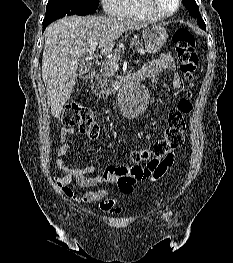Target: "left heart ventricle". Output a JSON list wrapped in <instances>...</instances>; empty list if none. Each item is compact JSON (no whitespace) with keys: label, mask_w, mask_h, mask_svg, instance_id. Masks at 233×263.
I'll use <instances>...</instances> for the list:
<instances>
[{"label":"left heart ventricle","mask_w":233,"mask_h":263,"mask_svg":"<svg viewBox=\"0 0 233 263\" xmlns=\"http://www.w3.org/2000/svg\"><path fill=\"white\" fill-rule=\"evenodd\" d=\"M161 10L170 12L175 8V0H156Z\"/></svg>","instance_id":"b2bd125f"}]
</instances>
